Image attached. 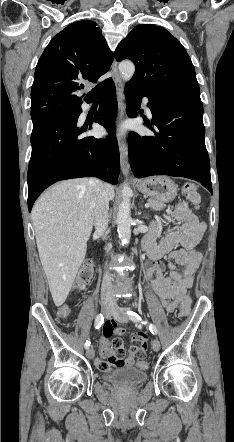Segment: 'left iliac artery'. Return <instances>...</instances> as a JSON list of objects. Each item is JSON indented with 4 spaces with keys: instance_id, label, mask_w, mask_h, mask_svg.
Instances as JSON below:
<instances>
[{
    "instance_id": "left-iliac-artery-1",
    "label": "left iliac artery",
    "mask_w": 234,
    "mask_h": 442,
    "mask_svg": "<svg viewBox=\"0 0 234 442\" xmlns=\"http://www.w3.org/2000/svg\"><path fill=\"white\" fill-rule=\"evenodd\" d=\"M127 314H128V316H129V319L132 320L133 322H141V323H145V324H146V322L143 321V320L141 319V317H140L136 312H133V311H127ZM149 330H150V332H151L153 335H156V334L158 333V330H157L156 326L153 325V324H150V325H149Z\"/></svg>"
}]
</instances>
